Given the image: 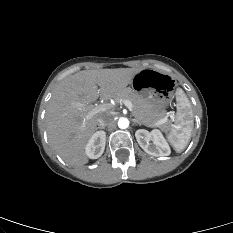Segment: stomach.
I'll use <instances>...</instances> for the list:
<instances>
[{
    "mask_svg": "<svg viewBox=\"0 0 233 233\" xmlns=\"http://www.w3.org/2000/svg\"><path fill=\"white\" fill-rule=\"evenodd\" d=\"M131 87L147 103L156 99L169 102L178 93V86L170 75L155 69L140 70L132 79Z\"/></svg>",
    "mask_w": 233,
    "mask_h": 233,
    "instance_id": "1",
    "label": "stomach"
}]
</instances>
